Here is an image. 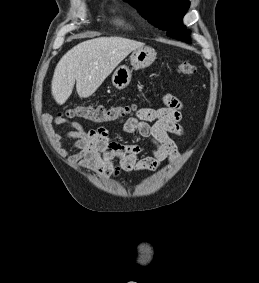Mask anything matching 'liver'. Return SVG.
I'll return each mask as SVG.
<instances>
[{
	"instance_id": "liver-1",
	"label": "liver",
	"mask_w": 259,
	"mask_h": 283,
	"mask_svg": "<svg viewBox=\"0 0 259 283\" xmlns=\"http://www.w3.org/2000/svg\"><path fill=\"white\" fill-rule=\"evenodd\" d=\"M144 43L123 37H98L79 43L58 62L51 91L62 105L76 90L81 98L91 96L121 61Z\"/></svg>"
}]
</instances>
